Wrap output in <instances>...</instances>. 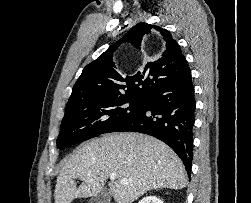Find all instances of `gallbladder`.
Listing matches in <instances>:
<instances>
[{"mask_svg": "<svg viewBox=\"0 0 251 203\" xmlns=\"http://www.w3.org/2000/svg\"><path fill=\"white\" fill-rule=\"evenodd\" d=\"M89 203H110V192L104 188L99 194L92 197Z\"/></svg>", "mask_w": 251, "mask_h": 203, "instance_id": "1", "label": "gallbladder"}]
</instances>
